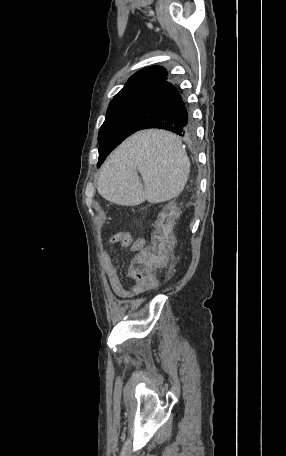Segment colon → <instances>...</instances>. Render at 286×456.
<instances>
[{
    "label": "colon",
    "mask_w": 286,
    "mask_h": 456,
    "mask_svg": "<svg viewBox=\"0 0 286 456\" xmlns=\"http://www.w3.org/2000/svg\"><path fill=\"white\" fill-rule=\"evenodd\" d=\"M167 227L163 220L157 221L148 246H140L138 255L130 267V276L139 291L155 288L159 283L156 270L163 269L168 260L170 241Z\"/></svg>",
    "instance_id": "obj_1"
}]
</instances>
